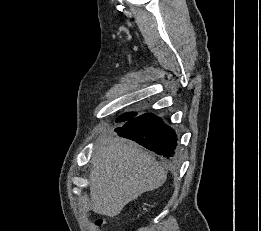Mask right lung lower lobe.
<instances>
[{
  "label": "right lung lower lobe",
  "instance_id": "right-lung-lower-lobe-1",
  "mask_svg": "<svg viewBox=\"0 0 261 231\" xmlns=\"http://www.w3.org/2000/svg\"><path fill=\"white\" fill-rule=\"evenodd\" d=\"M115 131L163 157L171 158L175 153L177 136L174 130L151 113L133 118Z\"/></svg>",
  "mask_w": 261,
  "mask_h": 231
}]
</instances>
